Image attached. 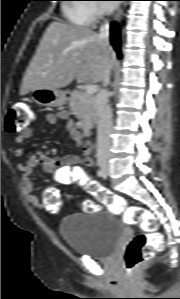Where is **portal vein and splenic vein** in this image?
Here are the masks:
<instances>
[{
    "label": "portal vein and splenic vein",
    "instance_id": "18ae733b",
    "mask_svg": "<svg viewBox=\"0 0 180 299\" xmlns=\"http://www.w3.org/2000/svg\"><path fill=\"white\" fill-rule=\"evenodd\" d=\"M97 91V86L96 85H87L86 87H85V92L87 93V94H94L95 92Z\"/></svg>",
    "mask_w": 180,
    "mask_h": 299
}]
</instances>
